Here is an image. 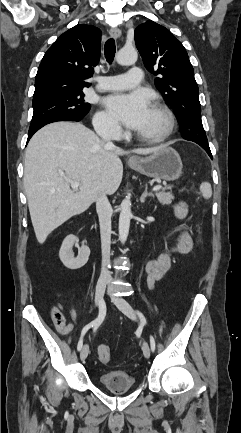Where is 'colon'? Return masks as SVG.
Instances as JSON below:
<instances>
[{"label":"colon","instance_id":"1","mask_svg":"<svg viewBox=\"0 0 241 433\" xmlns=\"http://www.w3.org/2000/svg\"><path fill=\"white\" fill-rule=\"evenodd\" d=\"M98 356L99 359L104 362L107 363L110 361L111 359V351L110 348L107 345H100L98 348Z\"/></svg>","mask_w":241,"mask_h":433}]
</instances>
